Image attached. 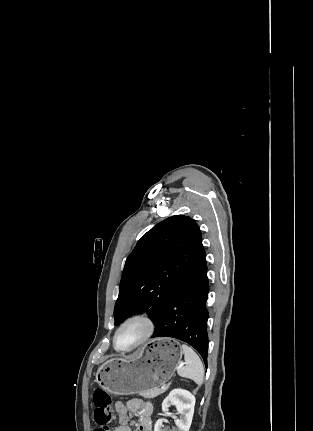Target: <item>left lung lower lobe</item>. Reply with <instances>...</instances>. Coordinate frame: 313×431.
I'll return each instance as SVG.
<instances>
[{
	"instance_id": "left-lung-lower-lobe-1",
	"label": "left lung lower lobe",
	"mask_w": 313,
	"mask_h": 431,
	"mask_svg": "<svg viewBox=\"0 0 313 431\" xmlns=\"http://www.w3.org/2000/svg\"><path fill=\"white\" fill-rule=\"evenodd\" d=\"M209 283L205 257L191 277L165 304L152 337H173L194 347L207 366Z\"/></svg>"
}]
</instances>
